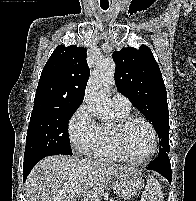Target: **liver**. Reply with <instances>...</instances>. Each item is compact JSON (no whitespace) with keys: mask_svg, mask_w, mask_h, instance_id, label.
Wrapping results in <instances>:
<instances>
[{"mask_svg":"<svg viewBox=\"0 0 196 201\" xmlns=\"http://www.w3.org/2000/svg\"><path fill=\"white\" fill-rule=\"evenodd\" d=\"M124 174L139 173L105 161L53 155L42 159L30 172L25 201H100L104 189ZM81 190L82 193L77 195Z\"/></svg>","mask_w":196,"mask_h":201,"instance_id":"1","label":"liver"}]
</instances>
